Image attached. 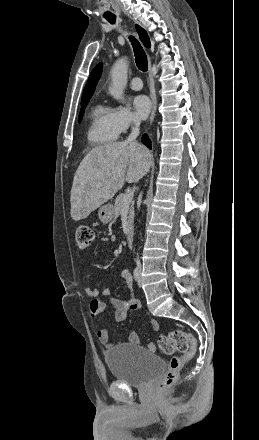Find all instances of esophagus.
Instances as JSON below:
<instances>
[{"label":"esophagus","instance_id":"esophagus-1","mask_svg":"<svg viewBox=\"0 0 259 440\" xmlns=\"http://www.w3.org/2000/svg\"><path fill=\"white\" fill-rule=\"evenodd\" d=\"M150 70H151V61L149 59V71ZM149 76H150V80H151V73H149ZM150 98H151V102H152V110H151V114H150V118H149V123L152 124V122L154 121V118H155L156 110H157V97H156V93L154 90V85H153L152 80L150 82Z\"/></svg>","mask_w":259,"mask_h":440}]
</instances>
